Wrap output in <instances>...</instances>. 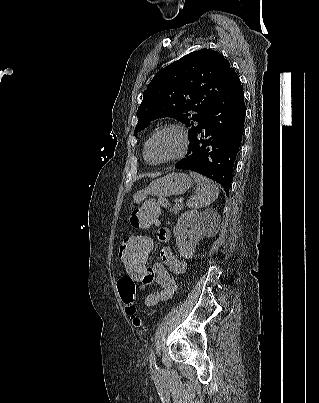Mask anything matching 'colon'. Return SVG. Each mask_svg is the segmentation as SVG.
<instances>
[{"mask_svg": "<svg viewBox=\"0 0 319 403\" xmlns=\"http://www.w3.org/2000/svg\"><path fill=\"white\" fill-rule=\"evenodd\" d=\"M160 213V204L155 200H148L140 209L135 210L130 223L133 227L143 228L150 225ZM138 238H126L119 246L121 269L126 276H118L116 288L121 294L120 306L124 310L125 317H129L134 331L142 328L143 314L137 305L136 296H146L147 286L140 280L143 273L148 271L152 262L149 232L139 231ZM137 284L135 287L134 285Z\"/></svg>", "mask_w": 319, "mask_h": 403, "instance_id": "1", "label": "colon"}]
</instances>
